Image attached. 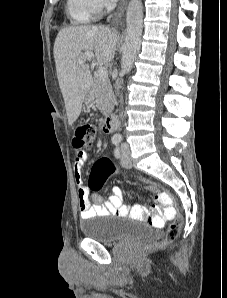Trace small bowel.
Returning a JSON list of instances; mask_svg holds the SVG:
<instances>
[{"mask_svg":"<svg viewBox=\"0 0 227 298\" xmlns=\"http://www.w3.org/2000/svg\"><path fill=\"white\" fill-rule=\"evenodd\" d=\"M89 147V142L83 143ZM74 158V179L78 187L77 198L79 215L81 219H90L96 216H128L148 218L149 211L141 205L127 206L123 204V191L119 186L112 188V195L106 202L98 195H90L89 189L83 185V167L87 161V151L76 146ZM149 182V181H147Z\"/></svg>","mask_w":227,"mask_h":298,"instance_id":"small-bowel-1","label":"small bowel"}]
</instances>
